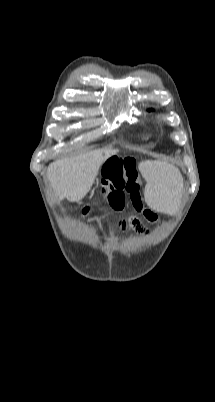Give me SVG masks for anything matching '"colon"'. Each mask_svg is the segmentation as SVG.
<instances>
[{"label": "colon", "instance_id": "colon-1", "mask_svg": "<svg viewBox=\"0 0 215 402\" xmlns=\"http://www.w3.org/2000/svg\"><path fill=\"white\" fill-rule=\"evenodd\" d=\"M101 177L104 179L102 196L112 209L123 208L125 193H127L133 206L142 212L146 219L157 220V215L144 207L141 194L142 181L133 156H109L108 160L104 161ZM89 212V208L83 210L85 216ZM138 221L136 218H129L121 222V227L134 228Z\"/></svg>", "mask_w": 215, "mask_h": 402}]
</instances>
